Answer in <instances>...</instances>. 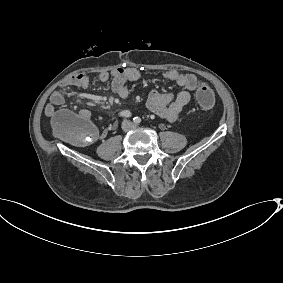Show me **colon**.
Wrapping results in <instances>:
<instances>
[{
  "mask_svg": "<svg viewBox=\"0 0 283 283\" xmlns=\"http://www.w3.org/2000/svg\"><path fill=\"white\" fill-rule=\"evenodd\" d=\"M196 97L200 107L205 110L211 109L215 104L214 93L206 83L199 84ZM52 123L58 136L75 145H88L97 138V131L90 120L78 113L58 111Z\"/></svg>",
  "mask_w": 283,
  "mask_h": 283,
  "instance_id": "5ec220e1",
  "label": "colon"
}]
</instances>
